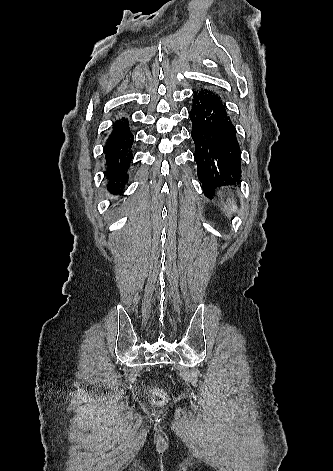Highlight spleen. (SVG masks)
Returning a JSON list of instances; mask_svg holds the SVG:
<instances>
[{"label": "spleen", "mask_w": 333, "mask_h": 471, "mask_svg": "<svg viewBox=\"0 0 333 471\" xmlns=\"http://www.w3.org/2000/svg\"><path fill=\"white\" fill-rule=\"evenodd\" d=\"M236 209H237V207H236V205L234 204V202H233V201L230 202V211H231V212H235Z\"/></svg>", "instance_id": "spleen-1"}]
</instances>
